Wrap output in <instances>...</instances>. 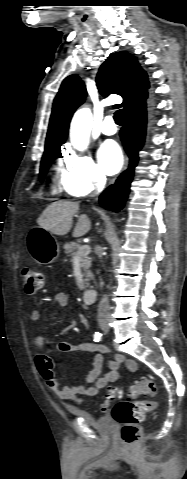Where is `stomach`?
<instances>
[{"instance_id": "obj_1", "label": "stomach", "mask_w": 187, "mask_h": 479, "mask_svg": "<svg viewBox=\"0 0 187 479\" xmlns=\"http://www.w3.org/2000/svg\"><path fill=\"white\" fill-rule=\"evenodd\" d=\"M26 240L29 254L38 264L47 265L58 258L60 246L49 231L35 227L29 231Z\"/></svg>"}]
</instances>
